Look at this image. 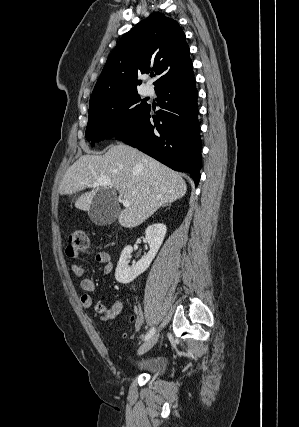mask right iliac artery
<instances>
[{
    "label": "right iliac artery",
    "instance_id": "1",
    "mask_svg": "<svg viewBox=\"0 0 299 427\" xmlns=\"http://www.w3.org/2000/svg\"><path fill=\"white\" fill-rule=\"evenodd\" d=\"M154 333H155V328L153 327V328H151V329L148 331V333L146 334V336H145L144 340H148L149 338H151V337L154 335Z\"/></svg>",
    "mask_w": 299,
    "mask_h": 427
}]
</instances>
